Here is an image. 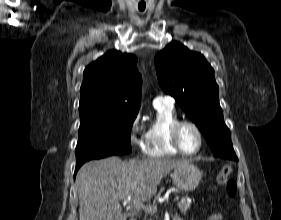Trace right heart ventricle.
Returning a JSON list of instances; mask_svg holds the SVG:
<instances>
[{"label":"right heart ventricle","instance_id":"obj_1","mask_svg":"<svg viewBox=\"0 0 281 220\" xmlns=\"http://www.w3.org/2000/svg\"><path fill=\"white\" fill-rule=\"evenodd\" d=\"M155 117L150 122L145 133L143 152L149 157H167L178 155L179 152L172 146L170 130L179 117L169 104H154Z\"/></svg>","mask_w":281,"mask_h":220}]
</instances>
